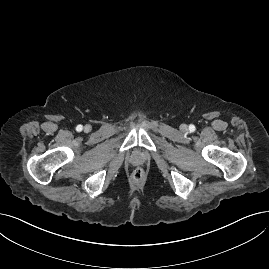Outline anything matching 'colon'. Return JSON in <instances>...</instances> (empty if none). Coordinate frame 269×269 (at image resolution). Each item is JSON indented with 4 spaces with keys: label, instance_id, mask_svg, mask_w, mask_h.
I'll return each instance as SVG.
<instances>
[{
    "label": "colon",
    "instance_id": "colon-1",
    "mask_svg": "<svg viewBox=\"0 0 269 269\" xmlns=\"http://www.w3.org/2000/svg\"><path fill=\"white\" fill-rule=\"evenodd\" d=\"M132 176H133V178L135 179V180H140V179H142L143 178V176H144V170H143V168H141V167H136V168H134V170H133V172H132Z\"/></svg>",
    "mask_w": 269,
    "mask_h": 269
}]
</instances>
